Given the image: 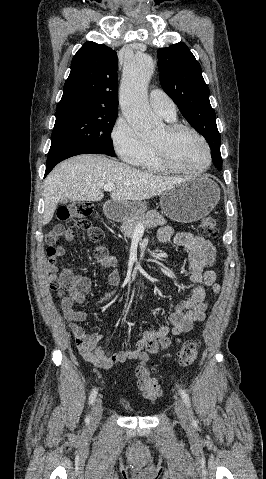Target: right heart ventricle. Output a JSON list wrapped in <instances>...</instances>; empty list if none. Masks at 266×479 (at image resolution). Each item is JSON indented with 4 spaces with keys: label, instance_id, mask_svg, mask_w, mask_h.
<instances>
[{
    "label": "right heart ventricle",
    "instance_id": "right-heart-ventricle-1",
    "mask_svg": "<svg viewBox=\"0 0 266 479\" xmlns=\"http://www.w3.org/2000/svg\"><path fill=\"white\" fill-rule=\"evenodd\" d=\"M170 122H174V120H168ZM148 148L147 152L144 157L136 164L142 170L150 173H164L166 170L162 167V165L158 162L154 148L151 142H147Z\"/></svg>",
    "mask_w": 266,
    "mask_h": 479
}]
</instances>
